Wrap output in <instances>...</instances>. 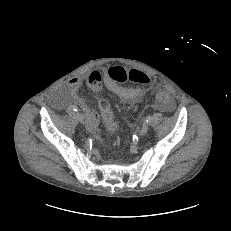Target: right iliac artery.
<instances>
[{
    "label": "right iliac artery",
    "instance_id": "82829eb1",
    "mask_svg": "<svg viewBox=\"0 0 231 231\" xmlns=\"http://www.w3.org/2000/svg\"><path fill=\"white\" fill-rule=\"evenodd\" d=\"M69 109H70V110H73V111H78V108H77L76 106H72V105L69 106Z\"/></svg>",
    "mask_w": 231,
    "mask_h": 231
}]
</instances>
